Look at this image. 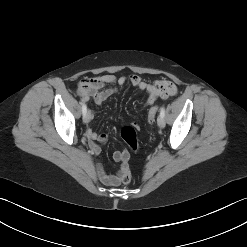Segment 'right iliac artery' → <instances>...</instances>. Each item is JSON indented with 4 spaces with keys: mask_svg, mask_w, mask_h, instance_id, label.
I'll use <instances>...</instances> for the list:
<instances>
[{
    "mask_svg": "<svg viewBox=\"0 0 247 247\" xmlns=\"http://www.w3.org/2000/svg\"><path fill=\"white\" fill-rule=\"evenodd\" d=\"M81 105H82V113L83 115H85L87 113V106L83 102L81 103Z\"/></svg>",
    "mask_w": 247,
    "mask_h": 247,
    "instance_id": "obj_1",
    "label": "right iliac artery"
}]
</instances>
